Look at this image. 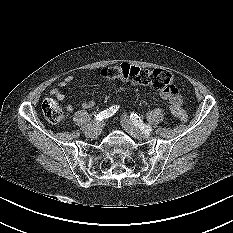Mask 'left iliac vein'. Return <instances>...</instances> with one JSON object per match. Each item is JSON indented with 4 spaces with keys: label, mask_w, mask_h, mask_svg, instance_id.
Wrapping results in <instances>:
<instances>
[{
    "label": "left iliac vein",
    "mask_w": 233,
    "mask_h": 233,
    "mask_svg": "<svg viewBox=\"0 0 233 233\" xmlns=\"http://www.w3.org/2000/svg\"><path fill=\"white\" fill-rule=\"evenodd\" d=\"M121 124L124 130L136 139L141 140L150 137V133L138 129L126 116L121 118Z\"/></svg>",
    "instance_id": "1"
}]
</instances>
